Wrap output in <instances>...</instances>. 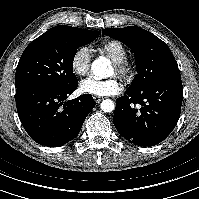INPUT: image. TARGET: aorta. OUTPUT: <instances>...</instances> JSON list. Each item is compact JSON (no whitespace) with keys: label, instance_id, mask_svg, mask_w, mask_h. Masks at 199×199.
Returning <instances> with one entry per match:
<instances>
[{"label":"aorta","instance_id":"1","mask_svg":"<svg viewBox=\"0 0 199 199\" xmlns=\"http://www.w3.org/2000/svg\"><path fill=\"white\" fill-rule=\"evenodd\" d=\"M110 68V61L104 57L95 59L91 65V70L97 79L107 77ZM100 107L104 112H112L115 108V105L112 100L105 99L101 102Z\"/></svg>","mask_w":199,"mask_h":199}]
</instances>
